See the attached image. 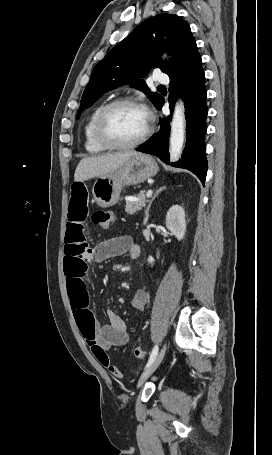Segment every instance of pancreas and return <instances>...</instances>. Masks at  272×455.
Returning a JSON list of instances; mask_svg holds the SVG:
<instances>
[{
  "label": "pancreas",
  "mask_w": 272,
  "mask_h": 455,
  "mask_svg": "<svg viewBox=\"0 0 272 455\" xmlns=\"http://www.w3.org/2000/svg\"><path fill=\"white\" fill-rule=\"evenodd\" d=\"M136 201H127L125 206V211L127 214H135L139 210H141L146 203V191H141L137 196Z\"/></svg>",
  "instance_id": "cf45deb5"
}]
</instances>
